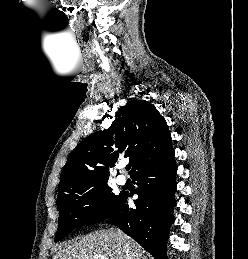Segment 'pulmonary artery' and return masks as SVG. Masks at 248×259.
Returning <instances> with one entry per match:
<instances>
[{
	"label": "pulmonary artery",
	"instance_id": "1",
	"mask_svg": "<svg viewBox=\"0 0 248 259\" xmlns=\"http://www.w3.org/2000/svg\"><path fill=\"white\" fill-rule=\"evenodd\" d=\"M127 179L124 175H118L117 177V183L119 185H124L126 183Z\"/></svg>",
	"mask_w": 248,
	"mask_h": 259
}]
</instances>
